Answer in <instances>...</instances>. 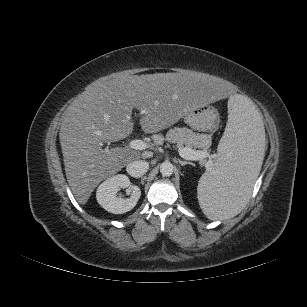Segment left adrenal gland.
I'll list each match as a JSON object with an SVG mask.
<instances>
[{
    "instance_id": "a2214340",
    "label": "left adrenal gland",
    "mask_w": 307,
    "mask_h": 307,
    "mask_svg": "<svg viewBox=\"0 0 307 307\" xmlns=\"http://www.w3.org/2000/svg\"><path fill=\"white\" fill-rule=\"evenodd\" d=\"M178 162L181 166H185V165H192L195 166V164H193L192 162L189 161H182L181 159H178Z\"/></svg>"
}]
</instances>
